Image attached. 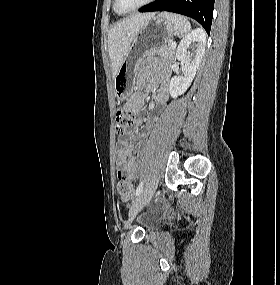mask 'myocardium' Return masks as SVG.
Returning a JSON list of instances; mask_svg holds the SVG:
<instances>
[{"label": "myocardium", "instance_id": "1", "mask_svg": "<svg viewBox=\"0 0 280 285\" xmlns=\"http://www.w3.org/2000/svg\"><path fill=\"white\" fill-rule=\"evenodd\" d=\"M153 1H154V0H145V1H143L141 4H139L138 6L132 8V9H130V10H125V11H123V10H121V9L119 8V5H118V2H119V1H118V0H114V9H115L116 12L119 13V14H128V13H132V12H135V11H137V10L143 8L144 6H146V5L150 4V3H152Z\"/></svg>", "mask_w": 280, "mask_h": 285}]
</instances>
